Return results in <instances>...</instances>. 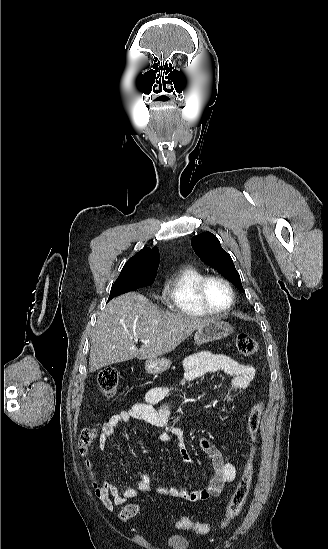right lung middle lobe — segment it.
Wrapping results in <instances>:
<instances>
[{
	"label": "right lung middle lobe",
	"instance_id": "right-lung-middle-lobe-1",
	"mask_svg": "<svg viewBox=\"0 0 328 549\" xmlns=\"http://www.w3.org/2000/svg\"><path fill=\"white\" fill-rule=\"evenodd\" d=\"M158 265L146 264L123 271L113 284L109 300L123 293L151 284L157 275Z\"/></svg>",
	"mask_w": 328,
	"mask_h": 549
}]
</instances>
